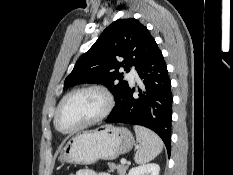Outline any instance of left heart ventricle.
<instances>
[{
  "label": "left heart ventricle",
  "mask_w": 233,
  "mask_h": 175,
  "mask_svg": "<svg viewBox=\"0 0 233 175\" xmlns=\"http://www.w3.org/2000/svg\"><path fill=\"white\" fill-rule=\"evenodd\" d=\"M103 97L93 91L80 92L69 97L58 115L62 130H71L98 115L104 108Z\"/></svg>",
  "instance_id": "left-heart-ventricle-1"
}]
</instances>
